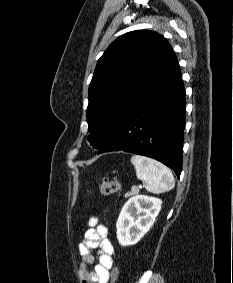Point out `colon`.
Instances as JSON below:
<instances>
[{
	"mask_svg": "<svg viewBox=\"0 0 233 283\" xmlns=\"http://www.w3.org/2000/svg\"><path fill=\"white\" fill-rule=\"evenodd\" d=\"M99 190L103 195L120 194L122 191L121 183L117 180L104 179L99 184ZM119 276V270L114 266L111 270V283H116Z\"/></svg>",
	"mask_w": 233,
	"mask_h": 283,
	"instance_id": "obj_1",
	"label": "colon"
}]
</instances>
